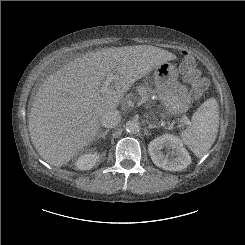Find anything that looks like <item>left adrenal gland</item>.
Segmentation results:
<instances>
[{
  "label": "left adrenal gland",
  "mask_w": 245,
  "mask_h": 245,
  "mask_svg": "<svg viewBox=\"0 0 245 245\" xmlns=\"http://www.w3.org/2000/svg\"><path fill=\"white\" fill-rule=\"evenodd\" d=\"M148 128H149V129H152V128H158V126L155 125V124H149V125H148Z\"/></svg>",
  "instance_id": "left-adrenal-gland-1"
}]
</instances>
